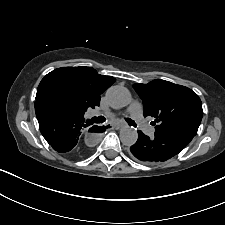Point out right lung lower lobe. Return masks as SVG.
Listing matches in <instances>:
<instances>
[{
  "instance_id": "98d812e1",
  "label": "right lung lower lobe",
  "mask_w": 225,
  "mask_h": 225,
  "mask_svg": "<svg viewBox=\"0 0 225 225\" xmlns=\"http://www.w3.org/2000/svg\"><path fill=\"white\" fill-rule=\"evenodd\" d=\"M35 112L41 134L49 145L55 151L74 158H80L87 154V150L79 144L82 133L86 130L92 133L102 132L107 128L90 126L92 122L85 120L84 115L44 102L35 103Z\"/></svg>"
}]
</instances>
